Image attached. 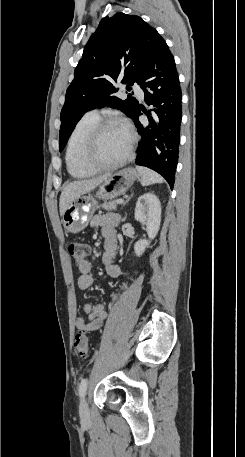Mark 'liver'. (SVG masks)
I'll return each instance as SVG.
<instances>
[{"mask_svg": "<svg viewBox=\"0 0 245 457\" xmlns=\"http://www.w3.org/2000/svg\"><path fill=\"white\" fill-rule=\"evenodd\" d=\"M110 174H102V176H96V178H89V180H74V182H69L65 188H63L60 196V214L63 216L68 204L78 198L80 194H85V192H90L93 188H96L98 184H101L103 180H107Z\"/></svg>", "mask_w": 245, "mask_h": 457, "instance_id": "liver-1", "label": "liver"}]
</instances>
